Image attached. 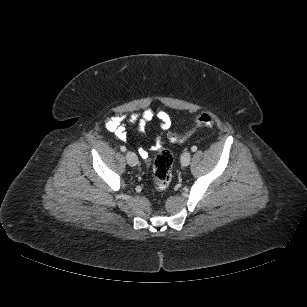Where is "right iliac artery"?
Instances as JSON below:
<instances>
[{
	"mask_svg": "<svg viewBox=\"0 0 307 307\" xmlns=\"http://www.w3.org/2000/svg\"><path fill=\"white\" fill-rule=\"evenodd\" d=\"M120 150H121L122 152H125V151H126V147H125V146H121V147H120Z\"/></svg>",
	"mask_w": 307,
	"mask_h": 307,
	"instance_id": "82829eb1",
	"label": "right iliac artery"
}]
</instances>
